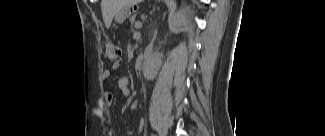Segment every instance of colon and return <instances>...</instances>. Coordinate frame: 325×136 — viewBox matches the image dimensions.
Instances as JSON below:
<instances>
[{"label": "colon", "mask_w": 325, "mask_h": 136, "mask_svg": "<svg viewBox=\"0 0 325 136\" xmlns=\"http://www.w3.org/2000/svg\"><path fill=\"white\" fill-rule=\"evenodd\" d=\"M103 53L108 61H115L120 56L121 52L120 48L117 45L111 42H107L103 46Z\"/></svg>", "instance_id": "obj_1"}]
</instances>
